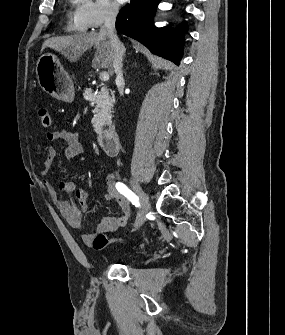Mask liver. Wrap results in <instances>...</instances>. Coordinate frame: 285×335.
<instances>
[{
	"instance_id": "obj_1",
	"label": "liver",
	"mask_w": 285,
	"mask_h": 335,
	"mask_svg": "<svg viewBox=\"0 0 285 335\" xmlns=\"http://www.w3.org/2000/svg\"><path fill=\"white\" fill-rule=\"evenodd\" d=\"M44 48H52L55 52H61L69 62H76L86 50L96 48L92 62L93 68H106L110 76L113 74L114 52L107 36L100 32H88V34H74V36H59V38H49L43 44Z\"/></svg>"
}]
</instances>
